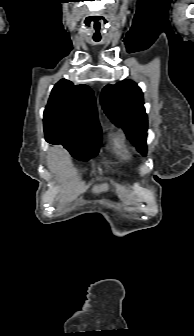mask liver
<instances>
[{"label":"liver","mask_w":194,"mask_h":336,"mask_svg":"<svg viewBox=\"0 0 194 336\" xmlns=\"http://www.w3.org/2000/svg\"><path fill=\"white\" fill-rule=\"evenodd\" d=\"M48 169L55 173L60 183H65L75 172L69 154L62 147H55L50 150L47 156ZM108 185L94 186L93 193L106 192ZM66 191L62 190L57 199L64 197Z\"/></svg>","instance_id":"1"}]
</instances>
